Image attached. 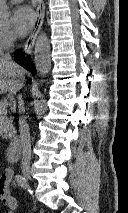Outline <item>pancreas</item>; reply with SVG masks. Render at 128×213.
<instances>
[{
	"instance_id": "cf45deb5",
	"label": "pancreas",
	"mask_w": 128,
	"mask_h": 213,
	"mask_svg": "<svg viewBox=\"0 0 128 213\" xmlns=\"http://www.w3.org/2000/svg\"><path fill=\"white\" fill-rule=\"evenodd\" d=\"M7 114V109H0V136L3 139H7L14 132L13 118Z\"/></svg>"
}]
</instances>
